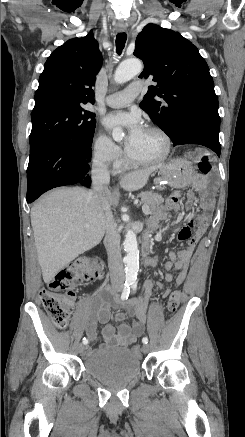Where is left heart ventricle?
Returning <instances> with one entry per match:
<instances>
[{"mask_svg":"<svg viewBox=\"0 0 245 437\" xmlns=\"http://www.w3.org/2000/svg\"><path fill=\"white\" fill-rule=\"evenodd\" d=\"M163 146V140L157 133L144 129L135 145L128 152L134 158L150 159L158 156L162 152Z\"/></svg>","mask_w":245,"mask_h":437,"instance_id":"b2bd125f","label":"left heart ventricle"}]
</instances>
